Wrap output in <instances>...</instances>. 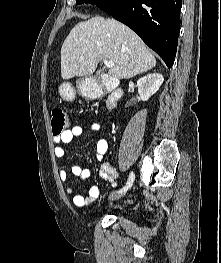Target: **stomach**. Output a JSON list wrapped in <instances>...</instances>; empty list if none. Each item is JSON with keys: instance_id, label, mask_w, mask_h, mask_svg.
<instances>
[{"instance_id": "0dacf381", "label": "stomach", "mask_w": 221, "mask_h": 263, "mask_svg": "<svg viewBox=\"0 0 221 263\" xmlns=\"http://www.w3.org/2000/svg\"><path fill=\"white\" fill-rule=\"evenodd\" d=\"M79 91L84 92L85 82L79 81L77 84ZM59 93L65 100H73L75 97V88L68 82H64L59 87Z\"/></svg>"}]
</instances>
